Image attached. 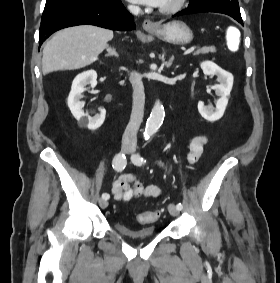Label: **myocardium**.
Listing matches in <instances>:
<instances>
[{"mask_svg":"<svg viewBox=\"0 0 280 283\" xmlns=\"http://www.w3.org/2000/svg\"><path fill=\"white\" fill-rule=\"evenodd\" d=\"M187 0H174L171 4L166 6H161L159 11L162 14H173L179 12L186 5Z\"/></svg>","mask_w":280,"mask_h":283,"instance_id":"f54148a6","label":"myocardium"}]
</instances>
